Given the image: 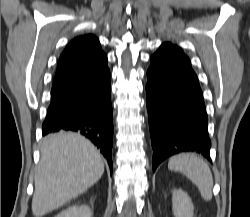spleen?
<instances>
[{"instance_id": "1", "label": "spleen", "mask_w": 250, "mask_h": 217, "mask_svg": "<svg viewBox=\"0 0 250 217\" xmlns=\"http://www.w3.org/2000/svg\"><path fill=\"white\" fill-rule=\"evenodd\" d=\"M168 168L189 178L197 186L204 200L212 199L213 176L203 159L195 154L182 153L170 158Z\"/></svg>"}]
</instances>
